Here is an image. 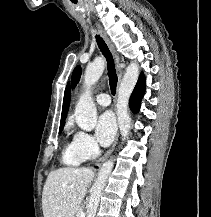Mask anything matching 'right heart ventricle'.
Returning a JSON list of instances; mask_svg holds the SVG:
<instances>
[{
    "mask_svg": "<svg viewBox=\"0 0 211 217\" xmlns=\"http://www.w3.org/2000/svg\"><path fill=\"white\" fill-rule=\"evenodd\" d=\"M62 159L65 164L73 166L84 161V158L75 149L73 141L65 147Z\"/></svg>",
    "mask_w": 211,
    "mask_h": 217,
    "instance_id": "e07e8e85",
    "label": "right heart ventricle"
}]
</instances>
